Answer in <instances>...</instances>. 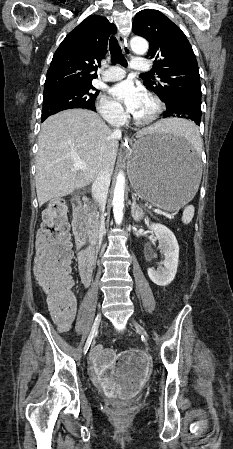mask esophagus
I'll use <instances>...</instances> for the list:
<instances>
[{"label":"esophagus","mask_w":233,"mask_h":449,"mask_svg":"<svg viewBox=\"0 0 233 449\" xmlns=\"http://www.w3.org/2000/svg\"><path fill=\"white\" fill-rule=\"evenodd\" d=\"M117 38H118L119 44L121 45V47H122L124 53H125L127 56H131V51H130V48L128 47L127 40H126V38L124 37V35H123L121 32H118ZM125 141H126L127 143L130 142V140L128 139V137L125 138Z\"/></svg>","instance_id":"obj_1"}]
</instances>
